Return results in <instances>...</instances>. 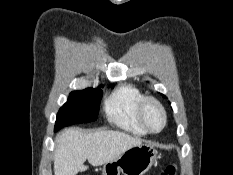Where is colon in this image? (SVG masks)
I'll return each mask as SVG.
<instances>
[{"label":"colon","mask_w":233,"mask_h":175,"mask_svg":"<svg viewBox=\"0 0 233 175\" xmlns=\"http://www.w3.org/2000/svg\"><path fill=\"white\" fill-rule=\"evenodd\" d=\"M177 169L176 166L173 164H170L166 166V168L162 171L160 175H176Z\"/></svg>","instance_id":"colon-1"}]
</instances>
